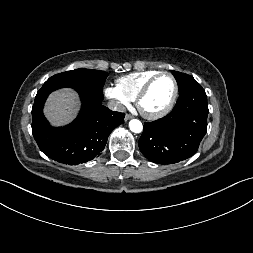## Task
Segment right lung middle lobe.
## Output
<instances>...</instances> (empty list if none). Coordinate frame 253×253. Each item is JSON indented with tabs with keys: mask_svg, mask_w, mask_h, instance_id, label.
Wrapping results in <instances>:
<instances>
[{
	"mask_svg": "<svg viewBox=\"0 0 253 253\" xmlns=\"http://www.w3.org/2000/svg\"><path fill=\"white\" fill-rule=\"evenodd\" d=\"M108 74L92 69H76L56 74L49 78L43 88L71 87L78 93L103 100L102 88Z\"/></svg>",
	"mask_w": 253,
	"mask_h": 253,
	"instance_id": "dd1d6c3e",
	"label": "right lung middle lobe"
}]
</instances>
